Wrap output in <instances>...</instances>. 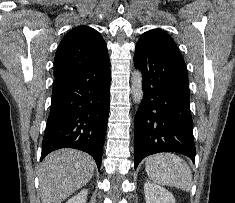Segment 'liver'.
<instances>
[{
	"instance_id": "obj_1",
	"label": "liver",
	"mask_w": 235,
	"mask_h": 203,
	"mask_svg": "<svg viewBox=\"0 0 235 203\" xmlns=\"http://www.w3.org/2000/svg\"><path fill=\"white\" fill-rule=\"evenodd\" d=\"M95 166L90 155L75 149H60L47 155L39 171L42 203L64 201L90 181Z\"/></svg>"
}]
</instances>
